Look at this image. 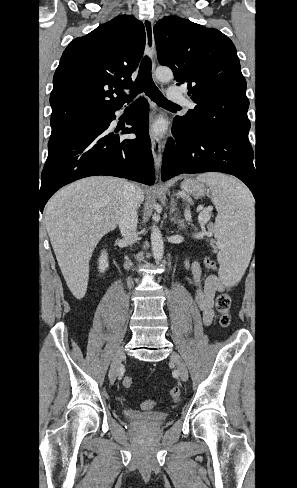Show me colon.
Returning a JSON list of instances; mask_svg holds the SVG:
<instances>
[{
	"label": "colon",
	"instance_id": "obj_1",
	"mask_svg": "<svg viewBox=\"0 0 297 488\" xmlns=\"http://www.w3.org/2000/svg\"><path fill=\"white\" fill-rule=\"evenodd\" d=\"M204 265L205 268L209 271H215L216 270V263L212 258H205L204 260ZM216 309L220 315L219 321L220 324L223 327H228L231 322V315H230V310H231V298L229 295L223 293L220 294L217 299H216ZM123 385L126 388L131 387L132 385V376L130 374H125L123 376ZM170 397L173 401H178L181 395V390L179 387H173L170 390ZM154 407V402L153 401H145L142 403L141 408L143 410H150Z\"/></svg>",
	"mask_w": 297,
	"mask_h": 488
}]
</instances>
